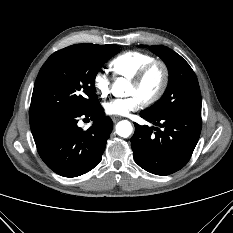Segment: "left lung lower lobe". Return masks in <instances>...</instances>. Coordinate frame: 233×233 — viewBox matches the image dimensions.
<instances>
[{"mask_svg": "<svg viewBox=\"0 0 233 233\" xmlns=\"http://www.w3.org/2000/svg\"><path fill=\"white\" fill-rule=\"evenodd\" d=\"M140 116L159 128L135 125L131 138L135 162L156 175H169L183 168L194 151L201 132V112L176 111L153 118Z\"/></svg>", "mask_w": 233, "mask_h": 233, "instance_id": "1", "label": "left lung lower lobe"}]
</instances>
